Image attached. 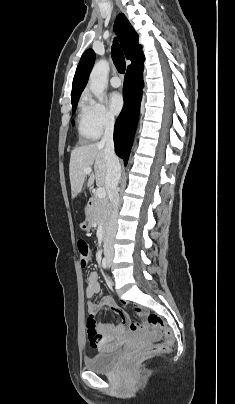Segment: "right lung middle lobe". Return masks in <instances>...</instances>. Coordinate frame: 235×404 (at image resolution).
Masks as SVG:
<instances>
[{"mask_svg":"<svg viewBox=\"0 0 235 404\" xmlns=\"http://www.w3.org/2000/svg\"><path fill=\"white\" fill-rule=\"evenodd\" d=\"M77 102H78V101L72 102V113H74L75 110H76ZM72 123L74 124V122H72Z\"/></svg>","mask_w":235,"mask_h":404,"instance_id":"dd1d6c3e","label":"right lung middle lobe"}]
</instances>
